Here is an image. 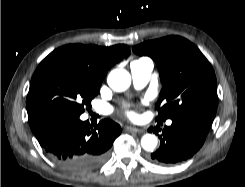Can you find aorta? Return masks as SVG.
<instances>
[{
  "instance_id": "aorta-1",
  "label": "aorta",
  "mask_w": 245,
  "mask_h": 187,
  "mask_svg": "<svg viewBox=\"0 0 245 187\" xmlns=\"http://www.w3.org/2000/svg\"><path fill=\"white\" fill-rule=\"evenodd\" d=\"M108 85L117 92L125 91L131 84V76L124 69L112 70L107 78ZM158 140L153 134H146L141 139V145L146 151H153L157 146Z\"/></svg>"
}]
</instances>
